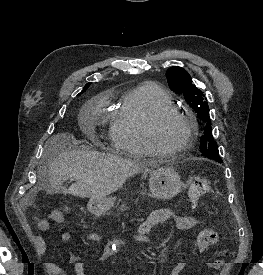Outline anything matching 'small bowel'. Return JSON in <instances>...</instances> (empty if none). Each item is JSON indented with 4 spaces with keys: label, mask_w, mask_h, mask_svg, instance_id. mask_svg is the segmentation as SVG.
Returning <instances> with one entry per match:
<instances>
[{
    "label": "small bowel",
    "mask_w": 263,
    "mask_h": 275,
    "mask_svg": "<svg viewBox=\"0 0 263 275\" xmlns=\"http://www.w3.org/2000/svg\"><path fill=\"white\" fill-rule=\"evenodd\" d=\"M173 220L175 227L178 230H188L193 228L197 224V219L192 215H178L171 209H157L153 211L148 218L139 225L137 233L134 235L133 239L139 242L150 243L151 238L149 234L160 224ZM37 227L42 231H49L50 226L46 221H38ZM85 239L88 242L99 244L101 242V237L96 232H91L86 235ZM61 240L64 243H69L71 241V234L64 232L61 235ZM37 251L40 256L44 255L46 251V244L42 237H36ZM125 244V241L122 239L112 240L106 243L103 247L101 261H106L110 259L116 251ZM71 262L73 263V270L75 275H88L86 272L85 264L79 261L76 257H71ZM186 264L183 261L177 262L173 268L171 275H180L185 269ZM45 270L49 275H67V272L64 267L53 263L46 262L44 263Z\"/></svg>",
    "instance_id": "small-bowel-1"
}]
</instances>
